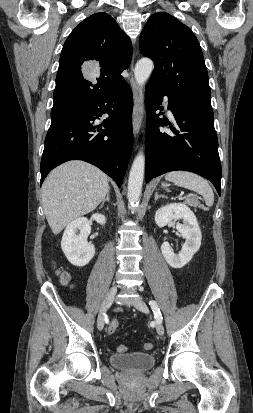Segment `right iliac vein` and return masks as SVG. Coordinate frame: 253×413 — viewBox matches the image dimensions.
Wrapping results in <instances>:
<instances>
[{
  "instance_id": "right-iliac-vein-1",
  "label": "right iliac vein",
  "mask_w": 253,
  "mask_h": 413,
  "mask_svg": "<svg viewBox=\"0 0 253 413\" xmlns=\"http://www.w3.org/2000/svg\"><path fill=\"white\" fill-rule=\"evenodd\" d=\"M116 292H117V286L114 285V286H112L111 289L108 291V293H107V295H106V297H105V299H104V301H103V304H102L100 313H99L98 318H97V328H98L99 330H102L103 327H104V322H105L104 314H105V312L108 310V308L111 306V304H112V302H113V300H114V297H115V295H116Z\"/></svg>"
}]
</instances>
